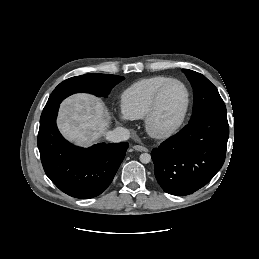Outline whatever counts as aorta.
<instances>
[{"mask_svg": "<svg viewBox=\"0 0 259 259\" xmlns=\"http://www.w3.org/2000/svg\"><path fill=\"white\" fill-rule=\"evenodd\" d=\"M140 161L144 164H147L151 161V156L148 153H142L140 155Z\"/></svg>", "mask_w": 259, "mask_h": 259, "instance_id": "1", "label": "aorta"}]
</instances>
